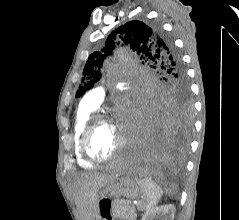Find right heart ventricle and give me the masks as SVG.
Instances as JSON below:
<instances>
[{"mask_svg":"<svg viewBox=\"0 0 239 220\" xmlns=\"http://www.w3.org/2000/svg\"><path fill=\"white\" fill-rule=\"evenodd\" d=\"M93 110L86 109L82 106L76 111L75 119H74V126H73V147L74 153L76 156V160L79 166L83 168H91L93 163L88 161L82 154L80 139L83 128L85 127L87 121L89 120Z\"/></svg>","mask_w":239,"mask_h":220,"instance_id":"e07e8e85","label":"right heart ventricle"}]
</instances>
